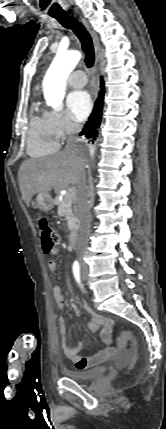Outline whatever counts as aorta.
Returning <instances> with one entry per match:
<instances>
[{"instance_id": "1", "label": "aorta", "mask_w": 166, "mask_h": 429, "mask_svg": "<svg viewBox=\"0 0 166 429\" xmlns=\"http://www.w3.org/2000/svg\"><path fill=\"white\" fill-rule=\"evenodd\" d=\"M80 58L81 53L76 50L58 52L44 77V97L46 103L55 111L60 110L62 107L66 79L78 64Z\"/></svg>"}]
</instances>
